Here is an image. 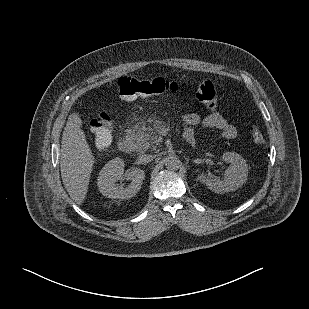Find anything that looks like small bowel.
<instances>
[{"label":"small bowel","instance_id":"1","mask_svg":"<svg viewBox=\"0 0 309 309\" xmlns=\"http://www.w3.org/2000/svg\"><path fill=\"white\" fill-rule=\"evenodd\" d=\"M186 128L184 130V139L195 141V127L202 124L205 128H214L220 131L223 138L231 140L237 137L238 131L235 126L230 124L223 116L217 113L210 114L204 119L195 113H188L184 116ZM188 142V141H187Z\"/></svg>","mask_w":309,"mask_h":309}]
</instances>
